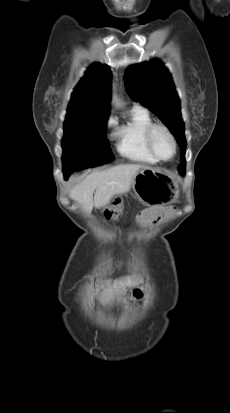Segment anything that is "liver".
<instances>
[{
  "label": "liver",
  "instance_id": "obj_1",
  "mask_svg": "<svg viewBox=\"0 0 230 413\" xmlns=\"http://www.w3.org/2000/svg\"><path fill=\"white\" fill-rule=\"evenodd\" d=\"M142 167L141 164H120L105 171H94L70 190V198L88 214L93 207L105 208L113 196L129 192L133 177Z\"/></svg>",
  "mask_w": 230,
  "mask_h": 413
}]
</instances>
